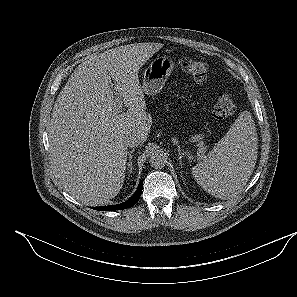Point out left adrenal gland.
Returning <instances> with one entry per match:
<instances>
[{"label": "left adrenal gland", "instance_id": "left-adrenal-gland-1", "mask_svg": "<svg viewBox=\"0 0 297 297\" xmlns=\"http://www.w3.org/2000/svg\"><path fill=\"white\" fill-rule=\"evenodd\" d=\"M178 160H179V164L180 166L182 165V158L185 157L187 155V152L186 151H181L180 147L178 146Z\"/></svg>", "mask_w": 297, "mask_h": 297}]
</instances>
